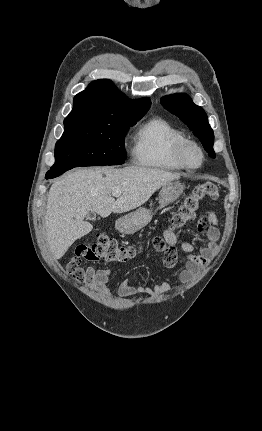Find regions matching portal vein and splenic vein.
<instances>
[{"mask_svg": "<svg viewBox=\"0 0 262 431\" xmlns=\"http://www.w3.org/2000/svg\"><path fill=\"white\" fill-rule=\"evenodd\" d=\"M112 195H113L114 197H119V196L121 195V191L116 190V191H114V192L112 193Z\"/></svg>", "mask_w": 262, "mask_h": 431, "instance_id": "18ae733b", "label": "portal vein and splenic vein"}]
</instances>
